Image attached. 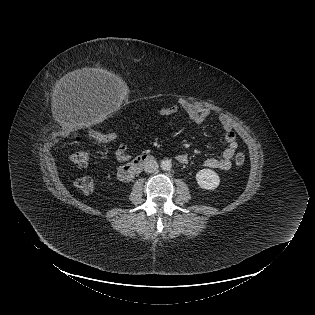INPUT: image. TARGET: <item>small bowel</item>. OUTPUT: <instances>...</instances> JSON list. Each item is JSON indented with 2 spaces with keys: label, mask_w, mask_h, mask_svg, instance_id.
<instances>
[{
  "label": "small bowel",
  "mask_w": 315,
  "mask_h": 315,
  "mask_svg": "<svg viewBox=\"0 0 315 315\" xmlns=\"http://www.w3.org/2000/svg\"><path fill=\"white\" fill-rule=\"evenodd\" d=\"M179 108L183 109L188 117L196 124L204 122L212 113L211 109L207 107L190 103L187 100H180L179 104H174L160 109L156 115L159 117L171 116L177 113ZM218 121L223 129V135L227 143V147L220 158H207L204 162V165L210 169L227 171L232 166V159L236 153L238 143L230 117L224 113H221L218 116ZM139 127V125L136 126L137 129ZM114 156L116 160L121 163L127 162L130 159L128 147L124 144L120 145L115 150ZM177 160L178 162L185 164L188 161V156L186 154H179L177 155Z\"/></svg>",
  "instance_id": "obj_1"
}]
</instances>
